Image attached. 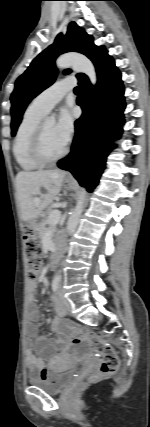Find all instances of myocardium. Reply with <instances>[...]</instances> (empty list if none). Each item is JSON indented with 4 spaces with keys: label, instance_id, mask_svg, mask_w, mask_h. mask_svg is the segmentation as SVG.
Here are the masks:
<instances>
[{
    "label": "myocardium",
    "instance_id": "1",
    "mask_svg": "<svg viewBox=\"0 0 150 427\" xmlns=\"http://www.w3.org/2000/svg\"><path fill=\"white\" fill-rule=\"evenodd\" d=\"M43 133L44 124H39L32 139L31 157L39 165L48 166L61 160L67 154L68 149L65 147L60 154L54 157L46 156L43 148Z\"/></svg>",
    "mask_w": 150,
    "mask_h": 427
}]
</instances>
